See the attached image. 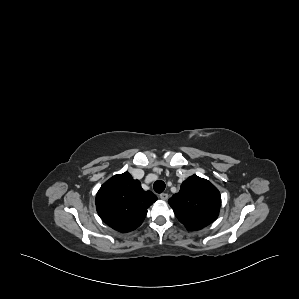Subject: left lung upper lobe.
Masks as SVG:
<instances>
[{"mask_svg":"<svg viewBox=\"0 0 299 299\" xmlns=\"http://www.w3.org/2000/svg\"><path fill=\"white\" fill-rule=\"evenodd\" d=\"M168 203L178 220L188 230L195 231L216 220L221 196L208 180L192 175L182 183L180 191L174 194Z\"/></svg>","mask_w":299,"mask_h":299,"instance_id":"5c2ea615","label":"left lung upper lobe"}]
</instances>
